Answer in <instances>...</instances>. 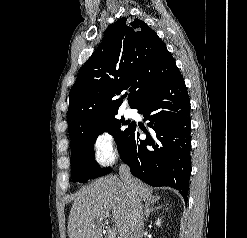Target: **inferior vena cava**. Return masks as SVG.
I'll use <instances>...</instances> for the list:
<instances>
[{
  "instance_id": "602c4592",
  "label": "inferior vena cava",
  "mask_w": 247,
  "mask_h": 238,
  "mask_svg": "<svg viewBox=\"0 0 247 238\" xmlns=\"http://www.w3.org/2000/svg\"><path fill=\"white\" fill-rule=\"evenodd\" d=\"M119 176L130 198L129 238H141L144 229L142 204L135 191L134 179L130 173V168L126 164L120 165Z\"/></svg>"
}]
</instances>
